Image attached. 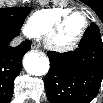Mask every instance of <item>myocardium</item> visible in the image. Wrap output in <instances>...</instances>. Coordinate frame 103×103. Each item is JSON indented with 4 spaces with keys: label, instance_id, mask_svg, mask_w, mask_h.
Returning <instances> with one entry per match:
<instances>
[{
    "label": "myocardium",
    "instance_id": "1",
    "mask_svg": "<svg viewBox=\"0 0 103 103\" xmlns=\"http://www.w3.org/2000/svg\"><path fill=\"white\" fill-rule=\"evenodd\" d=\"M82 15L84 17V26L81 30V32L70 42L67 43H59L56 41V36L59 33L60 29L63 27V25L74 15ZM89 26V20L87 18V15L80 11H69L56 19L52 25L48 28L46 33L44 34V43L46 47H48L51 50L57 51V52H66L69 50L74 49L80 41L83 39V37L86 34V31Z\"/></svg>",
    "mask_w": 103,
    "mask_h": 103
}]
</instances>
